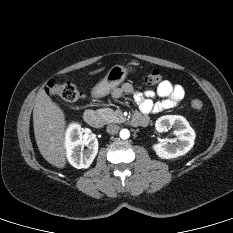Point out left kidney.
I'll use <instances>...</instances> for the list:
<instances>
[{
	"mask_svg": "<svg viewBox=\"0 0 233 233\" xmlns=\"http://www.w3.org/2000/svg\"><path fill=\"white\" fill-rule=\"evenodd\" d=\"M155 127L161 133L173 128L178 136V141L174 140L173 144L171 140H163L153 145L154 151L162 159H172L184 155L194 146L195 131L183 116H162L156 121Z\"/></svg>",
	"mask_w": 233,
	"mask_h": 233,
	"instance_id": "5707ae66",
	"label": "left kidney"
}]
</instances>
